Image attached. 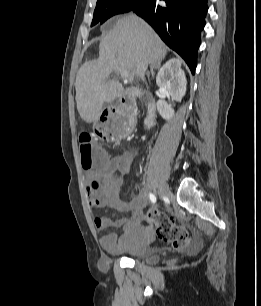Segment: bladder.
Returning <instances> with one entry per match:
<instances>
[{
	"mask_svg": "<svg viewBox=\"0 0 261 306\" xmlns=\"http://www.w3.org/2000/svg\"><path fill=\"white\" fill-rule=\"evenodd\" d=\"M129 258L135 262L156 264L160 255L149 243L143 241L130 253Z\"/></svg>",
	"mask_w": 261,
	"mask_h": 306,
	"instance_id": "bladder-1",
	"label": "bladder"
}]
</instances>
